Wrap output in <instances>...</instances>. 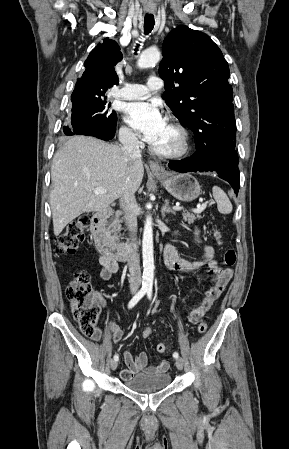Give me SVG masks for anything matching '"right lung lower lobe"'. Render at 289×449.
Returning a JSON list of instances; mask_svg holds the SVG:
<instances>
[{
	"label": "right lung lower lobe",
	"instance_id": "1",
	"mask_svg": "<svg viewBox=\"0 0 289 449\" xmlns=\"http://www.w3.org/2000/svg\"><path fill=\"white\" fill-rule=\"evenodd\" d=\"M65 128V127H64ZM116 125L114 127H99L96 124L90 122H82L76 125V128L70 130V134H80L87 136H94L102 140L108 141L115 135Z\"/></svg>",
	"mask_w": 289,
	"mask_h": 449
}]
</instances>
